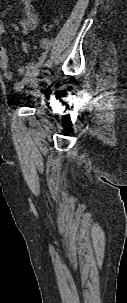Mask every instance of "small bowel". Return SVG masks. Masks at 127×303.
I'll use <instances>...</instances> for the list:
<instances>
[{
    "label": "small bowel",
    "instance_id": "obj_1",
    "mask_svg": "<svg viewBox=\"0 0 127 303\" xmlns=\"http://www.w3.org/2000/svg\"><path fill=\"white\" fill-rule=\"evenodd\" d=\"M22 6L24 19L20 23V27L23 31L33 30L38 25V18L35 15L32 0H19ZM5 28L0 20V38L4 35ZM39 47L42 53L37 59L30 62L26 66H21L18 68V74L20 78L14 82V90L20 91L26 86L32 85L36 82V77L39 73V69L44 65L51 47V42L48 38H41L39 41ZM24 52L27 51L25 45L22 46ZM0 70L5 80L11 81L14 78L13 73L10 71L8 66V55L4 46L0 44Z\"/></svg>",
    "mask_w": 127,
    "mask_h": 303
}]
</instances>
